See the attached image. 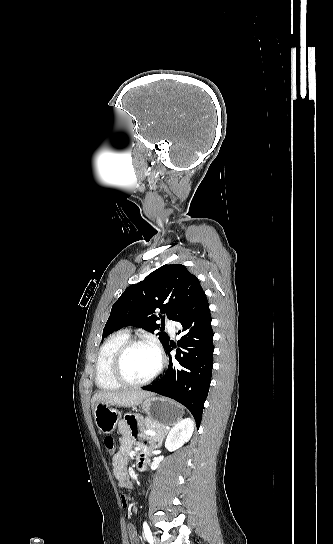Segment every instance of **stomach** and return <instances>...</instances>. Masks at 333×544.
<instances>
[{
  "label": "stomach",
  "mask_w": 333,
  "mask_h": 544,
  "mask_svg": "<svg viewBox=\"0 0 333 544\" xmlns=\"http://www.w3.org/2000/svg\"><path fill=\"white\" fill-rule=\"evenodd\" d=\"M113 406L114 404L105 402L95 404L93 411L95 424L103 434L112 433L121 420L120 412ZM141 406L151 420L163 426L176 424L184 414L182 406L171 400L155 396L144 399Z\"/></svg>",
  "instance_id": "stomach-1"
}]
</instances>
